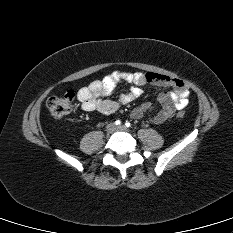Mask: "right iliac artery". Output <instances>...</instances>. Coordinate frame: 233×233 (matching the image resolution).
I'll return each instance as SVG.
<instances>
[{
	"mask_svg": "<svg viewBox=\"0 0 233 233\" xmlns=\"http://www.w3.org/2000/svg\"><path fill=\"white\" fill-rule=\"evenodd\" d=\"M121 124V121L120 120H116L115 121V125H120Z\"/></svg>",
	"mask_w": 233,
	"mask_h": 233,
	"instance_id": "82829eb1",
	"label": "right iliac artery"
}]
</instances>
